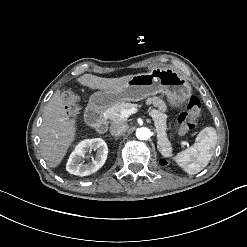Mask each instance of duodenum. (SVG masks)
<instances>
[{"label":"duodenum","mask_w":247,"mask_h":247,"mask_svg":"<svg viewBox=\"0 0 247 247\" xmlns=\"http://www.w3.org/2000/svg\"><path fill=\"white\" fill-rule=\"evenodd\" d=\"M85 117L88 125L98 133H105L108 125L103 116L102 109L97 105H90L87 107Z\"/></svg>","instance_id":"duodenum-1"}]
</instances>
